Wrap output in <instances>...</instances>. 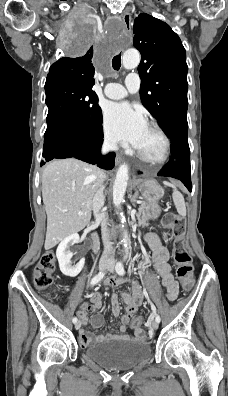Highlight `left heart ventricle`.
<instances>
[{"mask_svg":"<svg viewBox=\"0 0 228 396\" xmlns=\"http://www.w3.org/2000/svg\"><path fill=\"white\" fill-rule=\"evenodd\" d=\"M136 149L150 159H158L163 154L164 141L156 131L147 126Z\"/></svg>","mask_w":228,"mask_h":396,"instance_id":"b2bd125f","label":"left heart ventricle"}]
</instances>
